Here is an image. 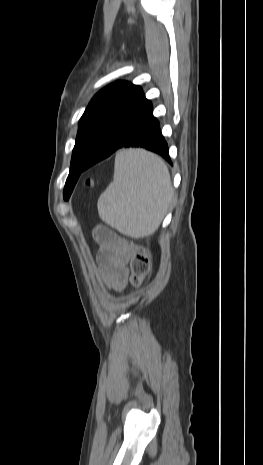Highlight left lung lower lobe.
I'll return each mask as SVG.
<instances>
[{"mask_svg": "<svg viewBox=\"0 0 263 465\" xmlns=\"http://www.w3.org/2000/svg\"><path fill=\"white\" fill-rule=\"evenodd\" d=\"M122 147H143L160 154L172 164L159 122L153 116L152 104L142 90L102 133L83 171Z\"/></svg>", "mask_w": 263, "mask_h": 465, "instance_id": "0a47b994", "label": "left lung lower lobe"}]
</instances>
